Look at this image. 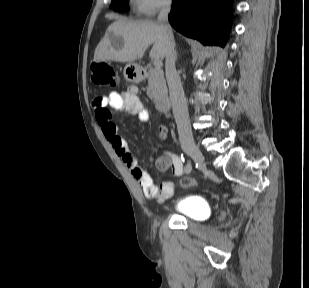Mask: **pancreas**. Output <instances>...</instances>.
Returning <instances> with one entry per match:
<instances>
[{"label":"pancreas","mask_w":309,"mask_h":288,"mask_svg":"<svg viewBox=\"0 0 309 288\" xmlns=\"http://www.w3.org/2000/svg\"><path fill=\"white\" fill-rule=\"evenodd\" d=\"M149 73L147 95L155 103H158L165 98L168 93L164 74L161 69L152 67L149 68Z\"/></svg>","instance_id":"cf45deb5"}]
</instances>
